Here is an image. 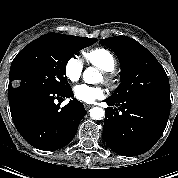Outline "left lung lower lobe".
I'll list each match as a JSON object with an SVG mask.
<instances>
[{
  "mask_svg": "<svg viewBox=\"0 0 178 178\" xmlns=\"http://www.w3.org/2000/svg\"><path fill=\"white\" fill-rule=\"evenodd\" d=\"M106 109L103 134L111 150L122 156L145 153L163 134L170 114L169 105L146 97H133L122 101L105 99Z\"/></svg>",
  "mask_w": 178,
  "mask_h": 178,
  "instance_id": "1",
  "label": "left lung lower lobe"
}]
</instances>
